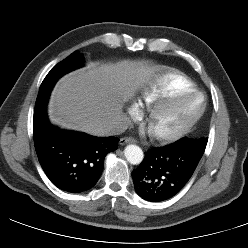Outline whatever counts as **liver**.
<instances>
[{
    "instance_id": "1",
    "label": "liver",
    "mask_w": 248,
    "mask_h": 248,
    "mask_svg": "<svg viewBox=\"0 0 248 248\" xmlns=\"http://www.w3.org/2000/svg\"><path fill=\"white\" fill-rule=\"evenodd\" d=\"M142 62H93L62 77L49 103L50 119L67 129L105 136L122 114L123 103L148 78Z\"/></svg>"
}]
</instances>
